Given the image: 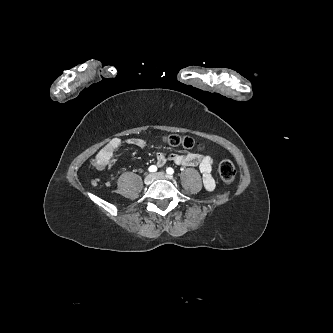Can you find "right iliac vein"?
Wrapping results in <instances>:
<instances>
[{
    "label": "right iliac vein",
    "mask_w": 333,
    "mask_h": 333,
    "mask_svg": "<svg viewBox=\"0 0 333 333\" xmlns=\"http://www.w3.org/2000/svg\"><path fill=\"white\" fill-rule=\"evenodd\" d=\"M154 179H155V177L153 174H148L144 179V183L146 185H150L154 181Z\"/></svg>",
    "instance_id": "obj_1"
}]
</instances>
